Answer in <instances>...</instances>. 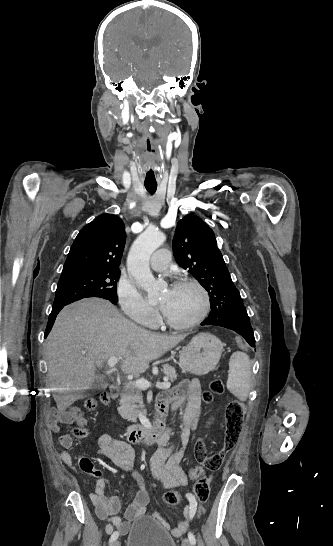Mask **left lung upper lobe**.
I'll list each match as a JSON object with an SVG mask.
<instances>
[{
  "label": "left lung upper lobe",
  "instance_id": "1",
  "mask_svg": "<svg viewBox=\"0 0 333 546\" xmlns=\"http://www.w3.org/2000/svg\"><path fill=\"white\" fill-rule=\"evenodd\" d=\"M172 246L179 266L188 269L208 291L211 303L209 318L229 320L246 311L217 247L215 234L201 218L188 214L181 219Z\"/></svg>",
  "mask_w": 333,
  "mask_h": 546
}]
</instances>
